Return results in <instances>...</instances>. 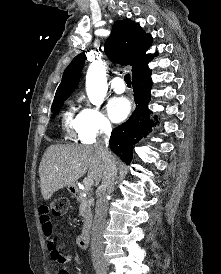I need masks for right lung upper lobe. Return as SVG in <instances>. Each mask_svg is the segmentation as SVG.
<instances>
[{"label":"right lung upper lobe","instance_id":"obj_1","mask_svg":"<svg viewBox=\"0 0 221 274\" xmlns=\"http://www.w3.org/2000/svg\"><path fill=\"white\" fill-rule=\"evenodd\" d=\"M152 43L151 35H145L142 28L131 20L116 21L111 35L105 42V52L114 62L131 65L132 78L149 71L148 63L155 54H146ZM85 54L77 55L64 71L62 81L55 97L71 95L78 86L81 71L85 62Z\"/></svg>","mask_w":221,"mask_h":274}]
</instances>
